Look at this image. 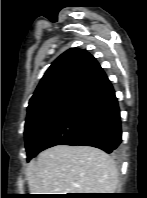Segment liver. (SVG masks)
I'll return each mask as SVG.
<instances>
[{
    "label": "liver",
    "mask_w": 147,
    "mask_h": 198,
    "mask_svg": "<svg viewBox=\"0 0 147 198\" xmlns=\"http://www.w3.org/2000/svg\"><path fill=\"white\" fill-rule=\"evenodd\" d=\"M31 194L114 193L118 171L112 158L91 146L56 145L27 166Z\"/></svg>",
    "instance_id": "obj_1"
}]
</instances>
